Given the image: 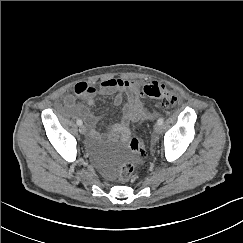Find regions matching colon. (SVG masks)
Wrapping results in <instances>:
<instances>
[{
    "mask_svg": "<svg viewBox=\"0 0 243 243\" xmlns=\"http://www.w3.org/2000/svg\"><path fill=\"white\" fill-rule=\"evenodd\" d=\"M143 94L148 98L156 101L163 108H170L177 104L178 98L176 94L163 84L156 81H148L143 86ZM129 149L135 153L140 159L146 157V145L142 139L132 138L128 142ZM134 166L130 162H124L120 166L119 180L127 183L131 180Z\"/></svg>",
    "mask_w": 243,
    "mask_h": 243,
    "instance_id": "colon-1",
    "label": "colon"
}]
</instances>
